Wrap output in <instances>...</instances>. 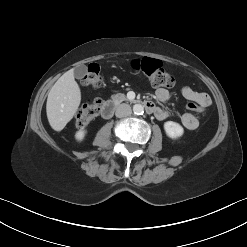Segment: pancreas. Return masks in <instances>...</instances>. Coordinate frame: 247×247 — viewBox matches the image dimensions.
<instances>
[{
	"mask_svg": "<svg viewBox=\"0 0 247 247\" xmlns=\"http://www.w3.org/2000/svg\"><path fill=\"white\" fill-rule=\"evenodd\" d=\"M111 99L115 104H119V103L127 100L126 96L122 93L112 95Z\"/></svg>",
	"mask_w": 247,
	"mask_h": 247,
	"instance_id": "1",
	"label": "pancreas"
}]
</instances>
